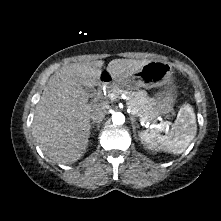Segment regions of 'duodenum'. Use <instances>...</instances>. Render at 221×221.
Segmentation results:
<instances>
[{
  "mask_svg": "<svg viewBox=\"0 0 221 221\" xmlns=\"http://www.w3.org/2000/svg\"><path fill=\"white\" fill-rule=\"evenodd\" d=\"M108 81H110V77L106 74L102 75L101 76V82H100V85H104L105 83H107Z\"/></svg>",
  "mask_w": 221,
  "mask_h": 221,
  "instance_id": "obj_1",
  "label": "duodenum"
}]
</instances>
